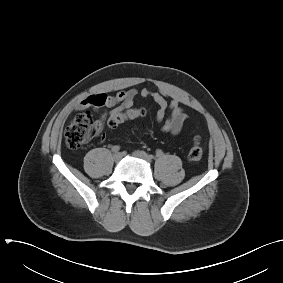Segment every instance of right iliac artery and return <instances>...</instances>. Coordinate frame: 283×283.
<instances>
[{
    "mask_svg": "<svg viewBox=\"0 0 283 283\" xmlns=\"http://www.w3.org/2000/svg\"><path fill=\"white\" fill-rule=\"evenodd\" d=\"M119 151H120V146L115 145V146L112 147V152L117 153Z\"/></svg>",
    "mask_w": 283,
    "mask_h": 283,
    "instance_id": "right-iliac-artery-1",
    "label": "right iliac artery"
}]
</instances>
